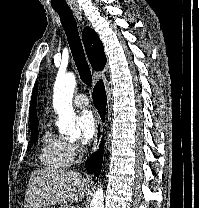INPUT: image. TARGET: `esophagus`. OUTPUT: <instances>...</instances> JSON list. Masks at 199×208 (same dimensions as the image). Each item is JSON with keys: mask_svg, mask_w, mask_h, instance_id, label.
Returning <instances> with one entry per match:
<instances>
[{"mask_svg": "<svg viewBox=\"0 0 199 208\" xmlns=\"http://www.w3.org/2000/svg\"><path fill=\"white\" fill-rule=\"evenodd\" d=\"M74 14L77 17L78 21H82V11L80 8H73ZM96 80L94 79L93 85L95 86ZM95 122H96V132H95V138H94V144H93V152H96L99 148V145L101 143L102 138V123L100 116L97 111H95Z\"/></svg>", "mask_w": 199, "mask_h": 208, "instance_id": "esophagus-1", "label": "esophagus"}]
</instances>
